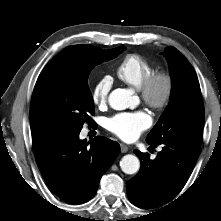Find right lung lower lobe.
Wrapping results in <instances>:
<instances>
[{
	"label": "right lung lower lobe",
	"mask_w": 221,
	"mask_h": 221,
	"mask_svg": "<svg viewBox=\"0 0 221 221\" xmlns=\"http://www.w3.org/2000/svg\"><path fill=\"white\" fill-rule=\"evenodd\" d=\"M80 130L46 129L32 133L35 159L50 188L62 200L82 204L94 196L102 175L118 156L117 142L97 136L89 143Z\"/></svg>",
	"instance_id": "98d812e1"
}]
</instances>
